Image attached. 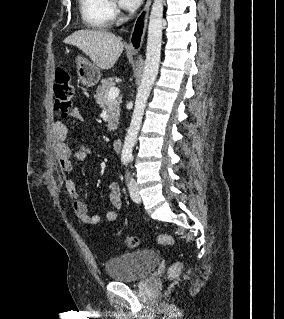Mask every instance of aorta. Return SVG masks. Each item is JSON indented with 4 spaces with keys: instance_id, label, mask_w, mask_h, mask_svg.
<instances>
[{
    "instance_id": "762f6f07",
    "label": "aorta",
    "mask_w": 284,
    "mask_h": 319,
    "mask_svg": "<svg viewBox=\"0 0 284 319\" xmlns=\"http://www.w3.org/2000/svg\"><path fill=\"white\" fill-rule=\"evenodd\" d=\"M162 29L163 0H154L149 17L145 65L142 80L136 95L130 127L127 131L122 149V160H130L132 158L133 147L141 127L147 99L158 74L162 44Z\"/></svg>"
}]
</instances>
